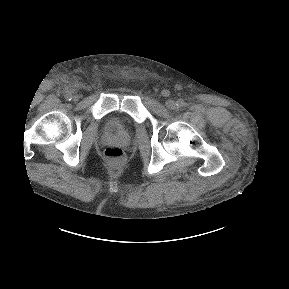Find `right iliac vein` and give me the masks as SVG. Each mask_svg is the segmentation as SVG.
Returning a JSON list of instances; mask_svg holds the SVG:
<instances>
[{
  "label": "right iliac vein",
  "mask_w": 289,
  "mask_h": 289,
  "mask_svg": "<svg viewBox=\"0 0 289 289\" xmlns=\"http://www.w3.org/2000/svg\"><path fill=\"white\" fill-rule=\"evenodd\" d=\"M79 99H80V96H79V95H74V96H73V100H74V101H78Z\"/></svg>",
  "instance_id": "63e3f726"
}]
</instances>
